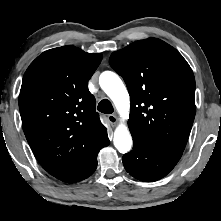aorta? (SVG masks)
I'll use <instances>...</instances> for the list:
<instances>
[{
	"mask_svg": "<svg viewBox=\"0 0 221 221\" xmlns=\"http://www.w3.org/2000/svg\"><path fill=\"white\" fill-rule=\"evenodd\" d=\"M99 83L104 92L113 101L116 109L123 118H127L130 110V97L119 76L111 71L100 75ZM114 146L124 154L131 150L132 137L125 125H119L114 133Z\"/></svg>",
	"mask_w": 221,
	"mask_h": 221,
	"instance_id": "762f6f07",
	"label": "aorta"
}]
</instances>
